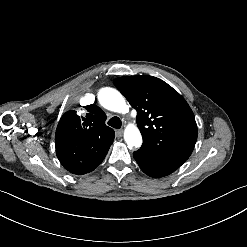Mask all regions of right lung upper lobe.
Masks as SVG:
<instances>
[{
    "instance_id": "1",
    "label": "right lung upper lobe",
    "mask_w": 247,
    "mask_h": 247,
    "mask_svg": "<svg viewBox=\"0 0 247 247\" xmlns=\"http://www.w3.org/2000/svg\"><path fill=\"white\" fill-rule=\"evenodd\" d=\"M84 108L86 115L81 117L76 111L66 112L56 129V154L66 170L101 163L114 140L105 113L94 104Z\"/></svg>"
}]
</instances>
